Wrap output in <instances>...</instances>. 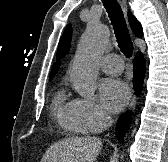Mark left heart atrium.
I'll use <instances>...</instances> for the list:
<instances>
[{
    "instance_id": "left-heart-atrium-1",
    "label": "left heart atrium",
    "mask_w": 168,
    "mask_h": 162,
    "mask_svg": "<svg viewBox=\"0 0 168 162\" xmlns=\"http://www.w3.org/2000/svg\"><path fill=\"white\" fill-rule=\"evenodd\" d=\"M100 95L104 107L115 113L121 111L128 103L130 90L122 80L108 78L101 85Z\"/></svg>"
}]
</instances>
